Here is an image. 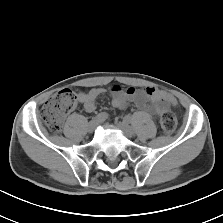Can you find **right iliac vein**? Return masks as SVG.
<instances>
[{"label":"right iliac vein","instance_id":"63e3f726","mask_svg":"<svg viewBox=\"0 0 223 223\" xmlns=\"http://www.w3.org/2000/svg\"><path fill=\"white\" fill-rule=\"evenodd\" d=\"M97 124H98V121H95V120H92L91 122H89V124L87 125V131L89 133L94 132Z\"/></svg>","mask_w":223,"mask_h":223}]
</instances>
